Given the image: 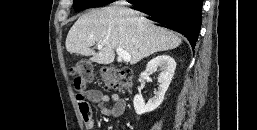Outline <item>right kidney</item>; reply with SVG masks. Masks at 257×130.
Wrapping results in <instances>:
<instances>
[{
    "label": "right kidney",
    "mask_w": 257,
    "mask_h": 130,
    "mask_svg": "<svg viewBox=\"0 0 257 130\" xmlns=\"http://www.w3.org/2000/svg\"><path fill=\"white\" fill-rule=\"evenodd\" d=\"M157 68L161 70V73L158 76L159 87L156 96L149 99L147 104H145L141 93L135 95L134 97L133 105L135 112L138 115L151 112L162 104L165 93L172 81L176 69V62L168 55L157 56L148 62L146 70L141 73V76L146 77L149 73H152Z\"/></svg>",
    "instance_id": "right-kidney-1"
}]
</instances>
